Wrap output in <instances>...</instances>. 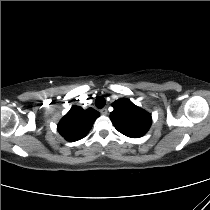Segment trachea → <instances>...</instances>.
Returning <instances> with one entry per match:
<instances>
[{
    "label": "trachea",
    "instance_id": "trachea-1",
    "mask_svg": "<svg viewBox=\"0 0 210 210\" xmlns=\"http://www.w3.org/2000/svg\"><path fill=\"white\" fill-rule=\"evenodd\" d=\"M106 104V101L103 97H98L96 100H95V105L97 108L101 109L105 106Z\"/></svg>",
    "mask_w": 210,
    "mask_h": 210
}]
</instances>
